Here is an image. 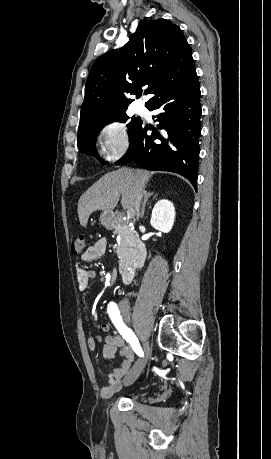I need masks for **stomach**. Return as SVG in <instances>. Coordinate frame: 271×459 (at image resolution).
<instances>
[{
  "label": "stomach",
  "mask_w": 271,
  "mask_h": 459,
  "mask_svg": "<svg viewBox=\"0 0 271 459\" xmlns=\"http://www.w3.org/2000/svg\"><path fill=\"white\" fill-rule=\"evenodd\" d=\"M114 216L112 212H104L101 216V222L102 224H105V226H110Z\"/></svg>",
  "instance_id": "0dacf381"
}]
</instances>
